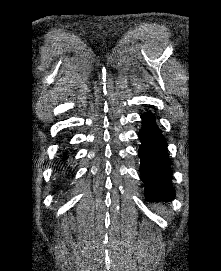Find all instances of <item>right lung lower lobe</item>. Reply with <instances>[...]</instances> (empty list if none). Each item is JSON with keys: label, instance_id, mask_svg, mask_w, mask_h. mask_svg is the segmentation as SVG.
I'll use <instances>...</instances> for the list:
<instances>
[{"label": "right lung lower lobe", "instance_id": "98d812e1", "mask_svg": "<svg viewBox=\"0 0 221 271\" xmlns=\"http://www.w3.org/2000/svg\"><path fill=\"white\" fill-rule=\"evenodd\" d=\"M65 159H67L66 153H64V155H63V160H65Z\"/></svg>", "mask_w": 221, "mask_h": 271}]
</instances>
